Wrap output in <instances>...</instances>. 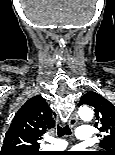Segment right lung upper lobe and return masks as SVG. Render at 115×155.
<instances>
[{"mask_svg":"<svg viewBox=\"0 0 115 155\" xmlns=\"http://www.w3.org/2000/svg\"><path fill=\"white\" fill-rule=\"evenodd\" d=\"M53 127V113L45 99L41 96L30 98L15 114L0 155H43L38 141Z\"/></svg>","mask_w":115,"mask_h":155,"instance_id":"obj_1","label":"right lung upper lobe"}]
</instances>
